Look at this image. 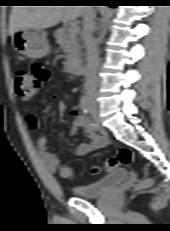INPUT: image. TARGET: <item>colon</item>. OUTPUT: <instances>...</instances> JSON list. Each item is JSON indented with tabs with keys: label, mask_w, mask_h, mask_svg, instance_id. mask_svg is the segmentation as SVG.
Wrapping results in <instances>:
<instances>
[{
	"label": "colon",
	"mask_w": 170,
	"mask_h": 231,
	"mask_svg": "<svg viewBox=\"0 0 170 231\" xmlns=\"http://www.w3.org/2000/svg\"><path fill=\"white\" fill-rule=\"evenodd\" d=\"M14 87L19 97L29 99L37 92L39 84L29 71L18 70L14 76ZM133 158L134 156L131 150L128 148H122L116 157L109 158L105 162L104 167L106 170L110 171L115 169L118 164H129L133 161ZM99 171L100 169L98 167L92 169L93 174H96ZM59 174L64 179H70L73 176V170L67 165H62L59 167ZM151 184L152 180L146 178L139 183L138 189L147 188Z\"/></svg>",
	"instance_id": "5ec220e1"
}]
</instances>
